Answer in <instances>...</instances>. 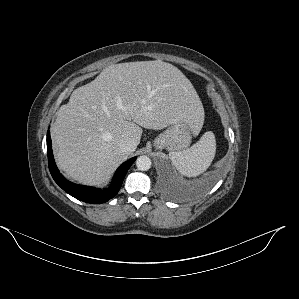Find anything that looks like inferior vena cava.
<instances>
[{
    "label": "inferior vena cava",
    "mask_w": 299,
    "mask_h": 299,
    "mask_svg": "<svg viewBox=\"0 0 299 299\" xmlns=\"http://www.w3.org/2000/svg\"><path fill=\"white\" fill-rule=\"evenodd\" d=\"M119 146L121 151L130 154L135 151L137 143L131 138H125L121 140Z\"/></svg>",
    "instance_id": "1"
}]
</instances>
